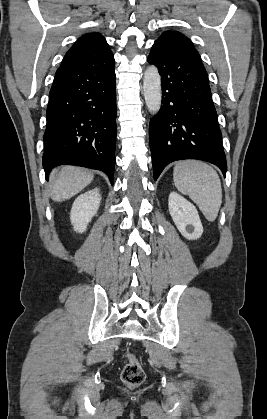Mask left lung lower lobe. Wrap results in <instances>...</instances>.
I'll list each match as a JSON object with an SVG mask.
<instances>
[{"instance_id": "obj_1", "label": "left lung lower lobe", "mask_w": 267, "mask_h": 419, "mask_svg": "<svg viewBox=\"0 0 267 419\" xmlns=\"http://www.w3.org/2000/svg\"><path fill=\"white\" fill-rule=\"evenodd\" d=\"M148 62L158 67L163 91L160 111L149 125L154 180L165 166L182 159L210 162L225 175L222 135L201 60L154 44Z\"/></svg>"}]
</instances>
